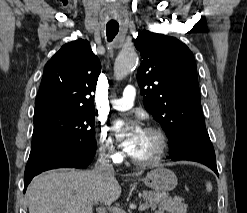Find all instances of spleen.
I'll use <instances>...</instances> for the list:
<instances>
[{
	"label": "spleen",
	"instance_id": "obj_1",
	"mask_svg": "<svg viewBox=\"0 0 247 213\" xmlns=\"http://www.w3.org/2000/svg\"><path fill=\"white\" fill-rule=\"evenodd\" d=\"M206 189H207V191H212V184L210 183V182H207L206 183Z\"/></svg>",
	"mask_w": 247,
	"mask_h": 213
}]
</instances>
